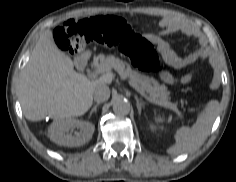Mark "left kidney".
I'll return each instance as SVG.
<instances>
[{"label": "left kidney", "instance_id": "1", "mask_svg": "<svg viewBox=\"0 0 236 182\" xmlns=\"http://www.w3.org/2000/svg\"><path fill=\"white\" fill-rule=\"evenodd\" d=\"M151 130L154 132L156 130V128L154 126H150Z\"/></svg>", "mask_w": 236, "mask_h": 182}]
</instances>
